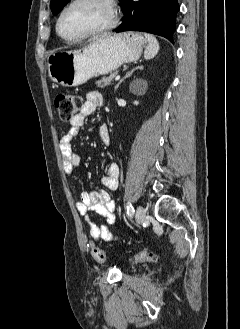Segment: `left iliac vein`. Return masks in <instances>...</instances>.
Listing matches in <instances>:
<instances>
[{
	"instance_id": "left-iliac-vein-1",
	"label": "left iliac vein",
	"mask_w": 240,
	"mask_h": 329,
	"mask_svg": "<svg viewBox=\"0 0 240 329\" xmlns=\"http://www.w3.org/2000/svg\"><path fill=\"white\" fill-rule=\"evenodd\" d=\"M146 210L142 206H138L136 210V221L141 225L145 221Z\"/></svg>"
}]
</instances>
